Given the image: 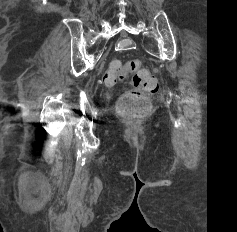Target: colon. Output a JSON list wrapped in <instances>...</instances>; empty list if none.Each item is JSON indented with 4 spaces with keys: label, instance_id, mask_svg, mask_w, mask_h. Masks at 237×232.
Returning a JSON list of instances; mask_svg holds the SVG:
<instances>
[{
    "label": "colon",
    "instance_id": "obj_1",
    "mask_svg": "<svg viewBox=\"0 0 237 232\" xmlns=\"http://www.w3.org/2000/svg\"><path fill=\"white\" fill-rule=\"evenodd\" d=\"M130 73L132 74L133 90L122 96L118 103V110L127 118H141L146 116L151 109L147 95L158 91V81L153 74L142 69L138 61L123 64L119 60H114L106 70L103 81L106 85L111 86Z\"/></svg>",
    "mask_w": 237,
    "mask_h": 232
}]
</instances>
